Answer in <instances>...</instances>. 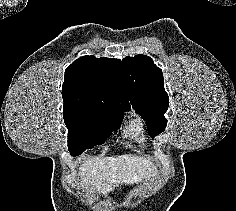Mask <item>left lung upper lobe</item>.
Masks as SVG:
<instances>
[{
  "mask_svg": "<svg viewBox=\"0 0 236 211\" xmlns=\"http://www.w3.org/2000/svg\"><path fill=\"white\" fill-rule=\"evenodd\" d=\"M130 101L137 113L147 122L152 137L163 132L167 125L164 113L169 97L164 90L163 73L145 55L125 57L122 60Z\"/></svg>",
  "mask_w": 236,
  "mask_h": 211,
  "instance_id": "left-lung-upper-lobe-1",
  "label": "left lung upper lobe"
}]
</instances>
